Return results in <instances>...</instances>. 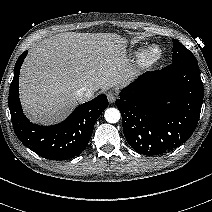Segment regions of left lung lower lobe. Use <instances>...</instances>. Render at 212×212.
<instances>
[{
    "label": "left lung lower lobe",
    "instance_id": "0a47b994",
    "mask_svg": "<svg viewBox=\"0 0 212 212\" xmlns=\"http://www.w3.org/2000/svg\"><path fill=\"white\" fill-rule=\"evenodd\" d=\"M203 103L198 62L172 63L148 71L120 92L124 136L144 155L180 146L194 132Z\"/></svg>",
    "mask_w": 212,
    "mask_h": 212
}]
</instances>
